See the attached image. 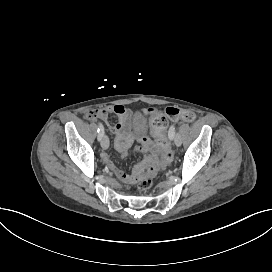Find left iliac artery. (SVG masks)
<instances>
[{
  "label": "left iliac artery",
  "instance_id": "1",
  "mask_svg": "<svg viewBox=\"0 0 272 272\" xmlns=\"http://www.w3.org/2000/svg\"><path fill=\"white\" fill-rule=\"evenodd\" d=\"M175 136V127L174 125H172L170 128H169V131H168V137L169 139H173Z\"/></svg>",
  "mask_w": 272,
  "mask_h": 272
}]
</instances>
